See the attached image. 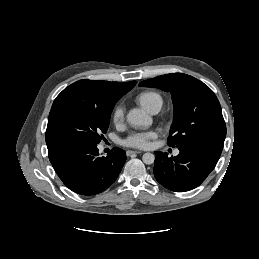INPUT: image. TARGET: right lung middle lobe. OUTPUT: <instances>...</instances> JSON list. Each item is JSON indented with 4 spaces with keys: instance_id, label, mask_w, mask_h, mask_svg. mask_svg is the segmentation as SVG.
<instances>
[{
    "instance_id": "right-lung-middle-lobe-1",
    "label": "right lung middle lobe",
    "mask_w": 259,
    "mask_h": 259,
    "mask_svg": "<svg viewBox=\"0 0 259 259\" xmlns=\"http://www.w3.org/2000/svg\"><path fill=\"white\" fill-rule=\"evenodd\" d=\"M113 107L75 98L54 101L46 130V144L91 143L104 139Z\"/></svg>"
}]
</instances>
